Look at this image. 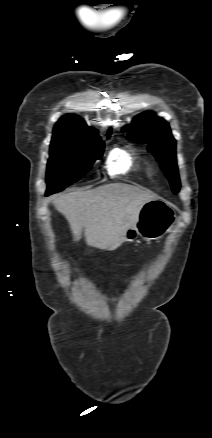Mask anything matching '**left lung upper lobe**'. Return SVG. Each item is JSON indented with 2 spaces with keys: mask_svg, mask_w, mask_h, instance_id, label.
<instances>
[{
  "mask_svg": "<svg viewBox=\"0 0 212 438\" xmlns=\"http://www.w3.org/2000/svg\"><path fill=\"white\" fill-rule=\"evenodd\" d=\"M127 130L128 139L148 144V151L156 157L171 183L173 192L177 193L180 180L176 164V141L168 123L156 117L154 113L144 112L136 116L132 126L122 129L123 132Z\"/></svg>",
  "mask_w": 212,
  "mask_h": 438,
  "instance_id": "1",
  "label": "left lung upper lobe"
}]
</instances>
